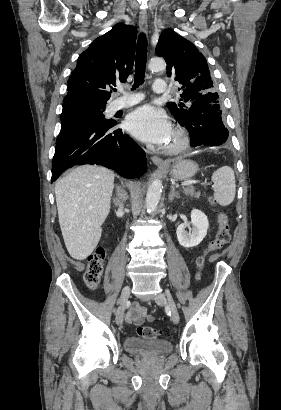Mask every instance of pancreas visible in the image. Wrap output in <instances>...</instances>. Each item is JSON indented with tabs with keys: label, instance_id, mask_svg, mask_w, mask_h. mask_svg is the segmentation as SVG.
Masks as SVG:
<instances>
[{
	"label": "pancreas",
	"instance_id": "cf45deb5",
	"mask_svg": "<svg viewBox=\"0 0 281 410\" xmlns=\"http://www.w3.org/2000/svg\"><path fill=\"white\" fill-rule=\"evenodd\" d=\"M183 192L186 195L191 196L193 198H199L200 197V192L196 191V189L193 186H188V187L184 188Z\"/></svg>",
	"mask_w": 281,
	"mask_h": 410
}]
</instances>
